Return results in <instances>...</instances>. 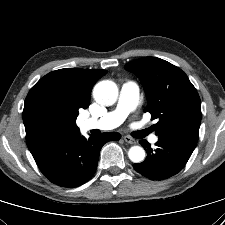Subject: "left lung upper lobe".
Instances as JSON below:
<instances>
[{"mask_svg":"<svg viewBox=\"0 0 225 225\" xmlns=\"http://www.w3.org/2000/svg\"><path fill=\"white\" fill-rule=\"evenodd\" d=\"M125 69L136 74L147 96L145 112L152 119L159 139L195 149L201 123V101L187 75L175 65L156 57L129 62Z\"/></svg>","mask_w":225,"mask_h":225,"instance_id":"left-lung-upper-lobe-1","label":"left lung upper lobe"}]
</instances>
